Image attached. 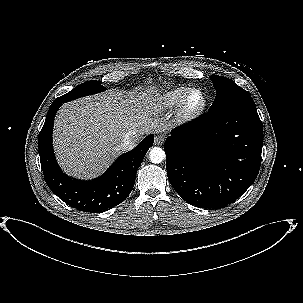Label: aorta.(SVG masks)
<instances>
[{
    "label": "aorta",
    "mask_w": 303,
    "mask_h": 303,
    "mask_svg": "<svg viewBox=\"0 0 303 303\" xmlns=\"http://www.w3.org/2000/svg\"><path fill=\"white\" fill-rule=\"evenodd\" d=\"M165 152L160 147H154L149 152L150 161L154 164H159L165 160Z\"/></svg>",
    "instance_id": "obj_1"
}]
</instances>
